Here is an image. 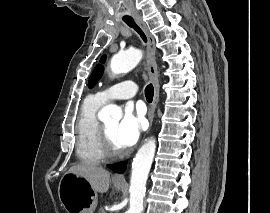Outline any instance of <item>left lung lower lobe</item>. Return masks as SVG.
Masks as SVG:
<instances>
[{
    "label": "left lung lower lobe",
    "instance_id": "left-lung-lower-lobe-1",
    "mask_svg": "<svg viewBox=\"0 0 270 213\" xmlns=\"http://www.w3.org/2000/svg\"><path fill=\"white\" fill-rule=\"evenodd\" d=\"M126 167V163L125 162H121L119 164H116L113 168V171L121 173L125 170Z\"/></svg>",
    "mask_w": 270,
    "mask_h": 213
}]
</instances>
